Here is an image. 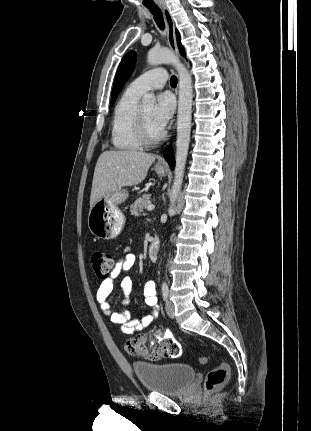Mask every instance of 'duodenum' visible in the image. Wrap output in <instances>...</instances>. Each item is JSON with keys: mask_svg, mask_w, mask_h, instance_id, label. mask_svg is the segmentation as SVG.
Returning a JSON list of instances; mask_svg holds the SVG:
<instances>
[{"mask_svg": "<svg viewBox=\"0 0 311 431\" xmlns=\"http://www.w3.org/2000/svg\"><path fill=\"white\" fill-rule=\"evenodd\" d=\"M160 241L154 238L149 246L148 254L152 261H156L159 255Z\"/></svg>", "mask_w": 311, "mask_h": 431, "instance_id": "410a0bca", "label": "duodenum"}]
</instances>
